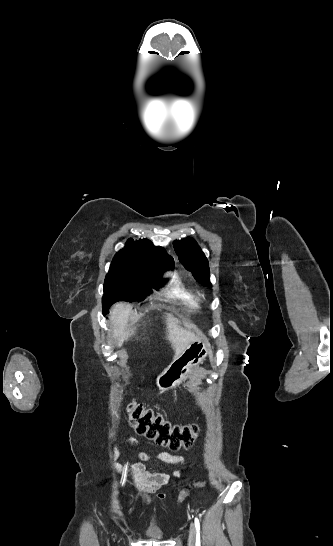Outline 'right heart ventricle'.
<instances>
[{
	"label": "right heart ventricle",
	"mask_w": 333,
	"mask_h": 546,
	"mask_svg": "<svg viewBox=\"0 0 333 546\" xmlns=\"http://www.w3.org/2000/svg\"><path fill=\"white\" fill-rule=\"evenodd\" d=\"M166 294L168 297L181 300L190 306L198 305L199 295L187 288L177 274L172 275Z\"/></svg>",
	"instance_id": "right-heart-ventricle-1"
}]
</instances>
